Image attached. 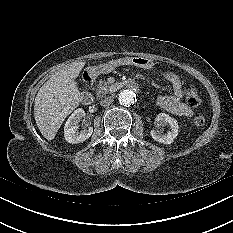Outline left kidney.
I'll return each mask as SVG.
<instances>
[{
	"label": "left kidney",
	"mask_w": 233,
	"mask_h": 233,
	"mask_svg": "<svg viewBox=\"0 0 233 233\" xmlns=\"http://www.w3.org/2000/svg\"><path fill=\"white\" fill-rule=\"evenodd\" d=\"M155 124L157 126L168 124L170 129L166 134H163L156 130H151L150 135L152 136V138L159 143L171 144L177 137L179 132L177 120L170 117L168 114L160 113L155 119Z\"/></svg>",
	"instance_id": "5707ae66"
}]
</instances>
